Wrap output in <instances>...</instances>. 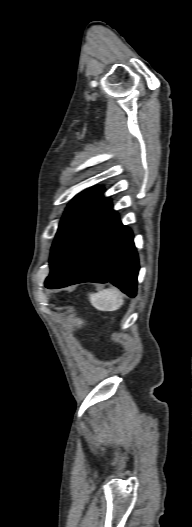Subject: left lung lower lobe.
<instances>
[{"label": "left lung lower lobe", "instance_id": "obj_1", "mask_svg": "<svg viewBox=\"0 0 192 527\" xmlns=\"http://www.w3.org/2000/svg\"><path fill=\"white\" fill-rule=\"evenodd\" d=\"M138 256L131 230L122 225L105 199L75 233L51 267L49 289L82 282H111L136 295Z\"/></svg>", "mask_w": 192, "mask_h": 527}]
</instances>
